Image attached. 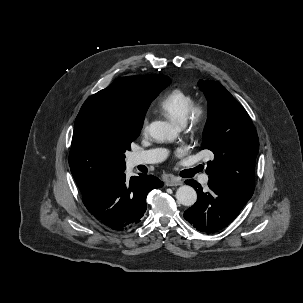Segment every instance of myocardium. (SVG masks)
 <instances>
[{
    "instance_id": "f54148a6",
    "label": "myocardium",
    "mask_w": 303,
    "mask_h": 303,
    "mask_svg": "<svg viewBox=\"0 0 303 303\" xmlns=\"http://www.w3.org/2000/svg\"><path fill=\"white\" fill-rule=\"evenodd\" d=\"M207 116L205 105L199 102H194L190 107L186 120L183 123L188 132L197 133L203 126Z\"/></svg>"
}]
</instances>
